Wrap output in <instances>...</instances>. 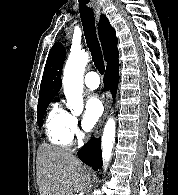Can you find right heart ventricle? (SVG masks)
Returning <instances> with one entry per match:
<instances>
[{
    "mask_svg": "<svg viewBox=\"0 0 178 195\" xmlns=\"http://www.w3.org/2000/svg\"><path fill=\"white\" fill-rule=\"evenodd\" d=\"M71 115L58 104L52 105L45 123L46 134L54 145L66 147L70 145L72 136L69 130Z\"/></svg>",
    "mask_w": 178,
    "mask_h": 195,
    "instance_id": "obj_1",
    "label": "right heart ventricle"
}]
</instances>
